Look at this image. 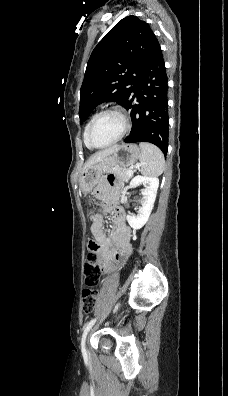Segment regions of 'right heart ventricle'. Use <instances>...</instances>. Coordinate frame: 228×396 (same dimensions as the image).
I'll return each instance as SVG.
<instances>
[{
	"mask_svg": "<svg viewBox=\"0 0 228 396\" xmlns=\"http://www.w3.org/2000/svg\"><path fill=\"white\" fill-rule=\"evenodd\" d=\"M94 116H95V115L91 116V118L89 119V121H88L87 124L85 125L84 131H83V140H84L85 145H86L87 148H89V149H91V147L88 145V142H87V131H88V128H89L90 123H91V121L93 120Z\"/></svg>",
	"mask_w": 228,
	"mask_h": 396,
	"instance_id": "obj_1",
	"label": "right heart ventricle"
}]
</instances>
